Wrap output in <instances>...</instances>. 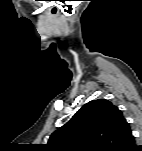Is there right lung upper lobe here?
<instances>
[{"label": "right lung upper lobe", "mask_w": 142, "mask_h": 151, "mask_svg": "<svg viewBox=\"0 0 142 151\" xmlns=\"http://www.w3.org/2000/svg\"><path fill=\"white\" fill-rule=\"evenodd\" d=\"M134 142L122 112L106 99L92 100L49 138L51 151H124Z\"/></svg>", "instance_id": "1"}]
</instances>
